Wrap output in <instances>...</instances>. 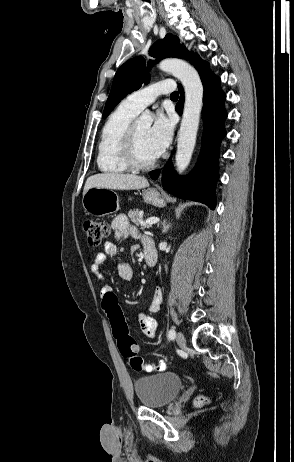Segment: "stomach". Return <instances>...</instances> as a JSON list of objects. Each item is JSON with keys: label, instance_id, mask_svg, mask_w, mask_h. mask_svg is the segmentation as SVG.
<instances>
[{"label": "stomach", "instance_id": "1", "mask_svg": "<svg viewBox=\"0 0 294 462\" xmlns=\"http://www.w3.org/2000/svg\"><path fill=\"white\" fill-rule=\"evenodd\" d=\"M142 195L147 203L156 207H164L166 205L165 200L156 189H147ZM82 205L88 214L102 217L119 210V198L110 189L92 187L83 195Z\"/></svg>", "mask_w": 294, "mask_h": 462}]
</instances>
